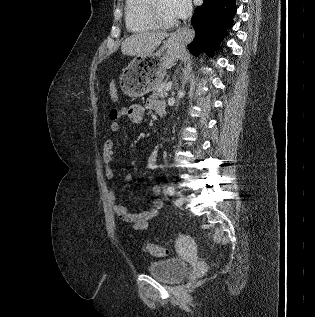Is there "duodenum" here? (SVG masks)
Segmentation results:
<instances>
[{
  "label": "duodenum",
  "instance_id": "1",
  "mask_svg": "<svg viewBox=\"0 0 315 317\" xmlns=\"http://www.w3.org/2000/svg\"><path fill=\"white\" fill-rule=\"evenodd\" d=\"M159 114L162 116L164 114V111H160Z\"/></svg>",
  "mask_w": 315,
  "mask_h": 317
}]
</instances>
